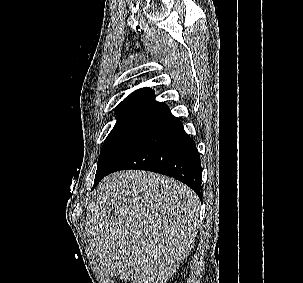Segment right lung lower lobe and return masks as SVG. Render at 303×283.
Masks as SVG:
<instances>
[{
  "label": "right lung lower lobe",
  "instance_id": "obj_1",
  "mask_svg": "<svg viewBox=\"0 0 303 283\" xmlns=\"http://www.w3.org/2000/svg\"><path fill=\"white\" fill-rule=\"evenodd\" d=\"M125 169L146 170L173 177L192 188L199 197L202 196V169L196 144L170 110L157 117L104 176ZM103 177L94 183L92 189Z\"/></svg>",
  "mask_w": 303,
  "mask_h": 283
}]
</instances>
